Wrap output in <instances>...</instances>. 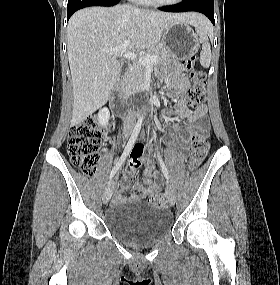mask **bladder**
I'll use <instances>...</instances> for the list:
<instances>
[{"mask_svg":"<svg viewBox=\"0 0 280 285\" xmlns=\"http://www.w3.org/2000/svg\"><path fill=\"white\" fill-rule=\"evenodd\" d=\"M106 226L118 238L136 245L156 242L173 224L171 213L148 202H121L106 212Z\"/></svg>","mask_w":280,"mask_h":285,"instance_id":"obj_1","label":"bladder"}]
</instances>
